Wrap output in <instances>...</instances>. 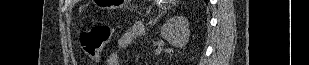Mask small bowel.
Segmentation results:
<instances>
[{
  "mask_svg": "<svg viewBox=\"0 0 309 65\" xmlns=\"http://www.w3.org/2000/svg\"><path fill=\"white\" fill-rule=\"evenodd\" d=\"M144 33V25L141 21L135 22L117 41L119 48L127 47L134 39ZM121 58L118 54L112 53L107 58V65H121Z\"/></svg>",
  "mask_w": 309,
  "mask_h": 65,
  "instance_id": "obj_1",
  "label": "small bowel"
}]
</instances>
